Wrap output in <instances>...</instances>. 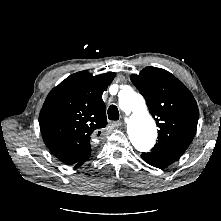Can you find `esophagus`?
Returning <instances> with one entry per match:
<instances>
[{
    "label": "esophagus",
    "instance_id": "esophagus-1",
    "mask_svg": "<svg viewBox=\"0 0 221 221\" xmlns=\"http://www.w3.org/2000/svg\"><path fill=\"white\" fill-rule=\"evenodd\" d=\"M122 125L121 121H115V122H111L110 126L115 128V127H120Z\"/></svg>",
    "mask_w": 221,
    "mask_h": 221
}]
</instances>
